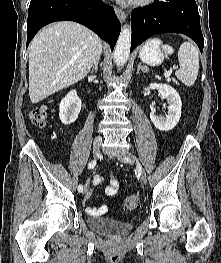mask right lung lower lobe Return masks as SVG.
<instances>
[{
  "instance_id": "1",
  "label": "right lung lower lobe",
  "mask_w": 221,
  "mask_h": 263,
  "mask_svg": "<svg viewBox=\"0 0 221 263\" xmlns=\"http://www.w3.org/2000/svg\"><path fill=\"white\" fill-rule=\"evenodd\" d=\"M69 20L78 22L110 44L114 49L121 24L112 7L102 0H31L27 21V46L45 25Z\"/></svg>"
}]
</instances>
